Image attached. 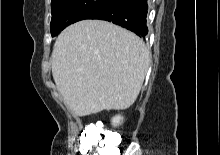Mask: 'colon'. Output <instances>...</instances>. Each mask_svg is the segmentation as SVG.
Listing matches in <instances>:
<instances>
[{
  "instance_id": "5ec220e1",
  "label": "colon",
  "mask_w": 220,
  "mask_h": 155,
  "mask_svg": "<svg viewBox=\"0 0 220 155\" xmlns=\"http://www.w3.org/2000/svg\"><path fill=\"white\" fill-rule=\"evenodd\" d=\"M84 144L81 149L83 155H114V144L109 135L91 129L81 139Z\"/></svg>"
}]
</instances>
